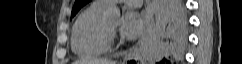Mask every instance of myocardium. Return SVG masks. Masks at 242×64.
<instances>
[{
  "mask_svg": "<svg viewBox=\"0 0 242 64\" xmlns=\"http://www.w3.org/2000/svg\"><path fill=\"white\" fill-rule=\"evenodd\" d=\"M112 33H113V29L110 28L106 23L105 26L103 27V35L108 41H110L112 37Z\"/></svg>",
  "mask_w": 242,
  "mask_h": 64,
  "instance_id": "obj_1",
  "label": "myocardium"
}]
</instances>
